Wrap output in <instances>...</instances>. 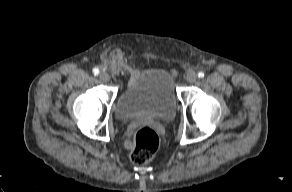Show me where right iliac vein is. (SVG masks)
Returning <instances> with one entry per match:
<instances>
[{
	"instance_id": "right-iliac-vein-1",
	"label": "right iliac vein",
	"mask_w": 292,
	"mask_h": 192,
	"mask_svg": "<svg viewBox=\"0 0 292 192\" xmlns=\"http://www.w3.org/2000/svg\"><path fill=\"white\" fill-rule=\"evenodd\" d=\"M99 78L103 82H108L110 80V77H109V75L106 72H101L99 74Z\"/></svg>"
}]
</instances>
